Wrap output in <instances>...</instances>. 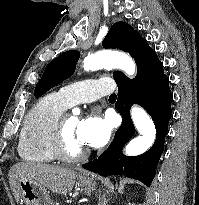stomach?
<instances>
[{
  "label": "stomach",
  "mask_w": 199,
  "mask_h": 205,
  "mask_svg": "<svg viewBox=\"0 0 199 205\" xmlns=\"http://www.w3.org/2000/svg\"><path fill=\"white\" fill-rule=\"evenodd\" d=\"M78 184L86 191H91L96 186L93 177L79 176ZM20 197L25 205H54L47 190L31 180L20 181Z\"/></svg>",
  "instance_id": "stomach-1"
}]
</instances>
